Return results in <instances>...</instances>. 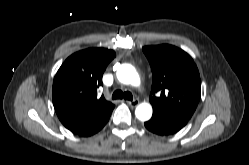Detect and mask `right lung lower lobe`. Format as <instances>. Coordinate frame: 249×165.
<instances>
[{
    "label": "right lung lower lobe",
    "instance_id": "right-lung-lower-lobe-1",
    "mask_svg": "<svg viewBox=\"0 0 249 165\" xmlns=\"http://www.w3.org/2000/svg\"><path fill=\"white\" fill-rule=\"evenodd\" d=\"M110 117V116H109ZM109 117H107L105 120H103L101 123H99L97 126H95L94 128H91L87 131H84V132H81L79 133L78 135L79 136H83V137H86V136H91L95 133H97L98 131H100L104 125L107 123V121L109 120Z\"/></svg>",
    "mask_w": 249,
    "mask_h": 165
}]
</instances>
